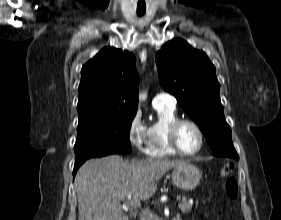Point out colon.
<instances>
[{
    "label": "colon",
    "instance_id": "colon-1",
    "mask_svg": "<svg viewBox=\"0 0 281 220\" xmlns=\"http://www.w3.org/2000/svg\"><path fill=\"white\" fill-rule=\"evenodd\" d=\"M233 165L225 164L221 169V176L225 179V192L230 199H235L238 195V184L235 178L231 177Z\"/></svg>",
    "mask_w": 281,
    "mask_h": 220
}]
</instances>
